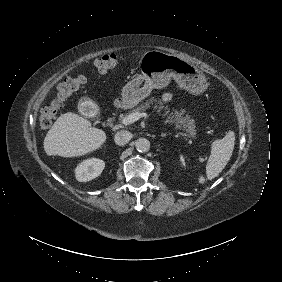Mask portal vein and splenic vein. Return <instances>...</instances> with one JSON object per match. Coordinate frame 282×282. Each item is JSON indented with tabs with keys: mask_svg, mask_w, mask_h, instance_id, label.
I'll list each match as a JSON object with an SVG mask.
<instances>
[{
	"mask_svg": "<svg viewBox=\"0 0 282 282\" xmlns=\"http://www.w3.org/2000/svg\"><path fill=\"white\" fill-rule=\"evenodd\" d=\"M144 116H146V113L136 111V112L128 115V117L124 119V122L125 123H132L134 121L139 120L140 118H142ZM159 124L162 125L163 127H165L166 129H168L169 131H171L174 136H184V137H187L188 139H191L192 141L198 142L197 138L191 137L189 134H186V133H177V132L174 131V129L172 127H169L167 124H165L162 121H159Z\"/></svg>",
	"mask_w": 282,
	"mask_h": 282,
	"instance_id": "18ae733b",
	"label": "portal vein and splenic vein"
}]
</instances>
